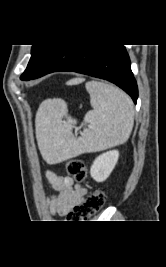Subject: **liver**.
<instances>
[{
  "label": "liver",
  "mask_w": 166,
  "mask_h": 267,
  "mask_svg": "<svg viewBox=\"0 0 166 267\" xmlns=\"http://www.w3.org/2000/svg\"><path fill=\"white\" fill-rule=\"evenodd\" d=\"M83 80H84L83 78H75V79L68 81L66 84L67 85H77V84L82 83Z\"/></svg>",
  "instance_id": "6515ba94"
}]
</instances>
